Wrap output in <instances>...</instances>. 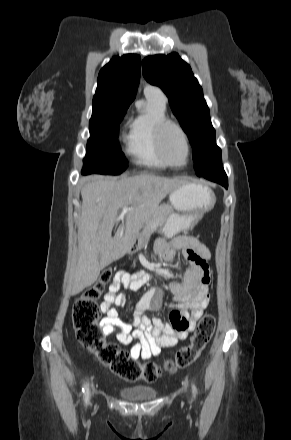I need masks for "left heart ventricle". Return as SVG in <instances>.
Here are the masks:
<instances>
[{"label": "left heart ventricle", "instance_id": "obj_1", "mask_svg": "<svg viewBox=\"0 0 291 440\" xmlns=\"http://www.w3.org/2000/svg\"><path fill=\"white\" fill-rule=\"evenodd\" d=\"M164 150L168 159L174 164H183L186 160V148L180 133L169 128L164 137Z\"/></svg>", "mask_w": 291, "mask_h": 440}]
</instances>
